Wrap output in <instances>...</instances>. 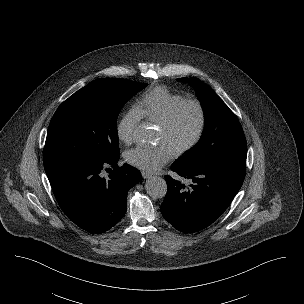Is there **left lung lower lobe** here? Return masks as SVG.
I'll list each match as a JSON object with an SVG mask.
<instances>
[{
	"label": "left lung lower lobe",
	"mask_w": 304,
	"mask_h": 304,
	"mask_svg": "<svg viewBox=\"0 0 304 304\" xmlns=\"http://www.w3.org/2000/svg\"><path fill=\"white\" fill-rule=\"evenodd\" d=\"M246 165L221 163L202 169L175 162L171 170L190 180L189 188L166 176L168 191L161 204L163 217L184 233L200 231L220 217L240 190Z\"/></svg>",
	"instance_id": "0a47b994"
}]
</instances>
